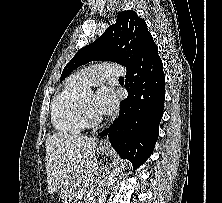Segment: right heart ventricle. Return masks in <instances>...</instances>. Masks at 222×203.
<instances>
[{
	"instance_id": "right-heart-ventricle-1",
	"label": "right heart ventricle",
	"mask_w": 222,
	"mask_h": 203,
	"mask_svg": "<svg viewBox=\"0 0 222 203\" xmlns=\"http://www.w3.org/2000/svg\"><path fill=\"white\" fill-rule=\"evenodd\" d=\"M84 88L70 78L54 98L51 106V120L59 133L76 135L85 130L87 125L80 112V101Z\"/></svg>"
}]
</instances>
